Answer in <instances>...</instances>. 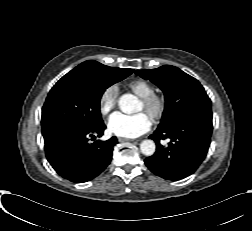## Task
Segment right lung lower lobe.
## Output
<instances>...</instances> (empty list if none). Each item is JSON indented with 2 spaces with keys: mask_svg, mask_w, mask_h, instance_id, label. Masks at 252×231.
Returning a JSON list of instances; mask_svg holds the SVG:
<instances>
[{
  "mask_svg": "<svg viewBox=\"0 0 252 231\" xmlns=\"http://www.w3.org/2000/svg\"><path fill=\"white\" fill-rule=\"evenodd\" d=\"M104 123L92 129L62 128L44 137L46 157L63 178L76 183L89 181L99 175L110 163L116 137L93 144L89 137H100Z\"/></svg>",
  "mask_w": 252,
  "mask_h": 231,
  "instance_id": "right-lung-lower-lobe-1",
  "label": "right lung lower lobe"
}]
</instances>
